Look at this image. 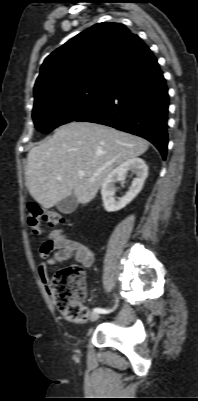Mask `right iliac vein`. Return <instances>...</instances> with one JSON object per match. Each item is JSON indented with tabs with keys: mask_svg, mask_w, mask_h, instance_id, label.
I'll list each match as a JSON object with an SVG mask.
<instances>
[{
	"mask_svg": "<svg viewBox=\"0 0 198 401\" xmlns=\"http://www.w3.org/2000/svg\"><path fill=\"white\" fill-rule=\"evenodd\" d=\"M99 317H100V316H99V313L93 312V313L90 315V320H91V321H96Z\"/></svg>",
	"mask_w": 198,
	"mask_h": 401,
	"instance_id": "63e3f726",
	"label": "right iliac vein"
}]
</instances>
